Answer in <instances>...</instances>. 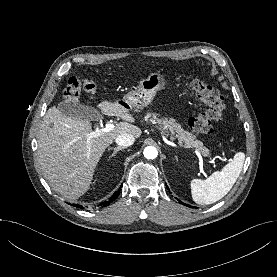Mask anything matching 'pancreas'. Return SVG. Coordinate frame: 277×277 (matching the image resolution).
Returning a JSON list of instances; mask_svg holds the SVG:
<instances>
[{
  "label": "pancreas",
  "mask_w": 277,
  "mask_h": 277,
  "mask_svg": "<svg viewBox=\"0 0 277 277\" xmlns=\"http://www.w3.org/2000/svg\"><path fill=\"white\" fill-rule=\"evenodd\" d=\"M146 120L152 123H158L160 128L166 135H170L172 138L177 137L180 141L184 142L188 146H193L200 150L204 155L209 153V150L203 146V143L199 141L196 136L190 132L184 130L179 123L173 118H159L158 114H147Z\"/></svg>",
  "instance_id": "cf45deb5"
}]
</instances>
